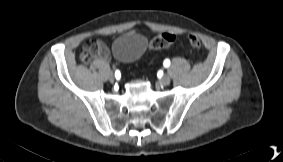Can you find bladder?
Segmentation results:
<instances>
[{"label": "bladder", "mask_w": 283, "mask_h": 162, "mask_svg": "<svg viewBox=\"0 0 283 162\" xmlns=\"http://www.w3.org/2000/svg\"><path fill=\"white\" fill-rule=\"evenodd\" d=\"M146 38L135 32H128L119 36L112 45L114 57L122 62L138 60L145 52Z\"/></svg>", "instance_id": "bladder-1"}]
</instances>
